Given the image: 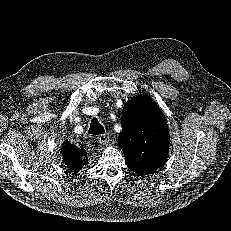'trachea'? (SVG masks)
<instances>
[{
	"instance_id": "3493384b",
	"label": "trachea",
	"mask_w": 231,
	"mask_h": 231,
	"mask_svg": "<svg viewBox=\"0 0 231 231\" xmlns=\"http://www.w3.org/2000/svg\"><path fill=\"white\" fill-rule=\"evenodd\" d=\"M89 134L93 135H100L105 133V129L103 126L99 123L97 118H93L90 123V128L88 130Z\"/></svg>"
}]
</instances>
